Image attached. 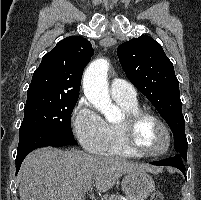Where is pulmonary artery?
I'll use <instances>...</instances> for the list:
<instances>
[{"label":"pulmonary artery","mask_w":201,"mask_h":200,"mask_svg":"<svg viewBox=\"0 0 201 200\" xmlns=\"http://www.w3.org/2000/svg\"><path fill=\"white\" fill-rule=\"evenodd\" d=\"M110 93L114 99L136 100V90L134 87L119 78H114L110 84Z\"/></svg>","instance_id":"pulmonary-artery-1"}]
</instances>
